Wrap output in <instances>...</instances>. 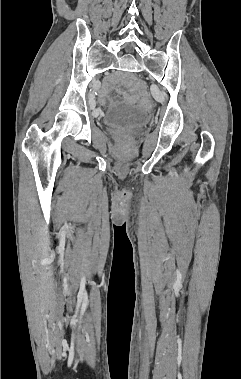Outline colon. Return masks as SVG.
Here are the masks:
<instances>
[{"instance_id": "obj_1", "label": "colon", "mask_w": 241, "mask_h": 379, "mask_svg": "<svg viewBox=\"0 0 241 379\" xmlns=\"http://www.w3.org/2000/svg\"><path fill=\"white\" fill-rule=\"evenodd\" d=\"M141 106L145 108H149L151 105V97L150 94H141Z\"/></svg>"}]
</instances>
